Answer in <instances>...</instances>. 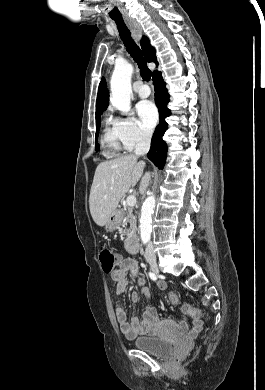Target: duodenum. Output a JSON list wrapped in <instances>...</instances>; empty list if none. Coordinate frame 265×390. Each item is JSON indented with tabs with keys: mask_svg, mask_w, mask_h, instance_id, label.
I'll return each mask as SVG.
<instances>
[{
	"mask_svg": "<svg viewBox=\"0 0 265 390\" xmlns=\"http://www.w3.org/2000/svg\"><path fill=\"white\" fill-rule=\"evenodd\" d=\"M127 250L130 253L136 254L140 251L139 240L136 237H130L127 240Z\"/></svg>",
	"mask_w": 265,
	"mask_h": 390,
	"instance_id": "obj_1",
	"label": "duodenum"
}]
</instances>
